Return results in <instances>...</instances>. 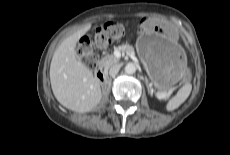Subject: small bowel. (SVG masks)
<instances>
[{
  "label": "small bowel",
  "instance_id": "obj_1",
  "mask_svg": "<svg viewBox=\"0 0 230 155\" xmlns=\"http://www.w3.org/2000/svg\"><path fill=\"white\" fill-rule=\"evenodd\" d=\"M139 34L151 32L164 33L169 38H174L179 33V28L167 19H158L153 16L143 17L137 25Z\"/></svg>",
  "mask_w": 230,
  "mask_h": 155
}]
</instances>
